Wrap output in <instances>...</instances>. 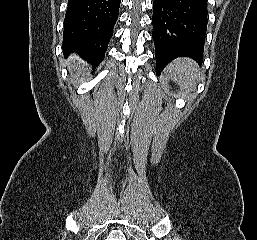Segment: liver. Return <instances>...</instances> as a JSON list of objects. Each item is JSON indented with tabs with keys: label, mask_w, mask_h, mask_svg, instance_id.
Returning a JSON list of instances; mask_svg holds the SVG:
<instances>
[{
	"label": "liver",
	"mask_w": 257,
	"mask_h": 240,
	"mask_svg": "<svg viewBox=\"0 0 257 240\" xmlns=\"http://www.w3.org/2000/svg\"><path fill=\"white\" fill-rule=\"evenodd\" d=\"M72 62H73V63H69V64H68L70 70H71V71L74 70L77 75H80V74L82 73V71L85 69V65H84V64H81V63H77V64H76V59H74V58L72 59Z\"/></svg>",
	"instance_id": "obj_1"
}]
</instances>
